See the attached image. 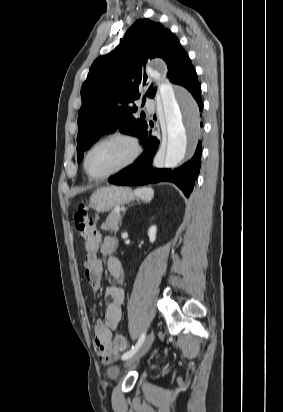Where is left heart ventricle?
<instances>
[{
	"label": "left heart ventricle",
	"instance_id": "1",
	"mask_svg": "<svg viewBox=\"0 0 283 412\" xmlns=\"http://www.w3.org/2000/svg\"><path fill=\"white\" fill-rule=\"evenodd\" d=\"M132 153L131 145L122 139L101 143L90 154L88 168L95 175L106 174L121 166Z\"/></svg>",
	"mask_w": 283,
	"mask_h": 412
}]
</instances>
